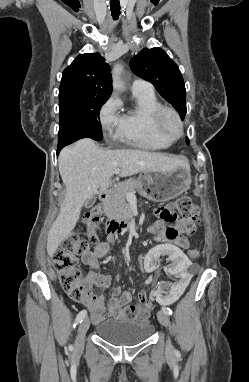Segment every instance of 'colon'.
I'll list each match as a JSON object with an SVG mask.
<instances>
[{"instance_id":"1","label":"colon","mask_w":249,"mask_h":382,"mask_svg":"<svg viewBox=\"0 0 249 382\" xmlns=\"http://www.w3.org/2000/svg\"><path fill=\"white\" fill-rule=\"evenodd\" d=\"M171 213L180 214L186 217L199 218V212L193 201L186 196L179 197L171 202L167 207L160 209V214L169 217ZM101 208L94 207L85 217V223L91 228L89 240L81 239L77 235L68 237L53 256L55 269L60 273V283L66 294L74 301H82L86 296V284L83 281V273L78 267V255L88 250L90 243L97 241V236L93 230L99 221ZM191 259L199 256V250L192 248L188 251ZM147 296L144 291L138 294V303H147Z\"/></svg>"}]
</instances>
